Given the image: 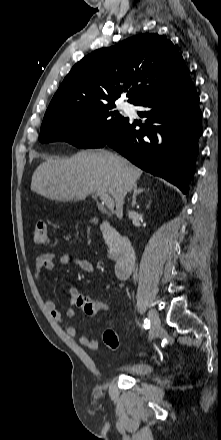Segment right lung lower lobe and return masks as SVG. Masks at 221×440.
<instances>
[{
	"mask_svg": "<svg viewBox=\"0 0 221 440\" xmlns=\"http://www.w3.org/2000/svg\"><path fill=\"white\" fill-rule=\"evenodd\" d=\"M135 105L147 108L138 112L147 118L145 125L136 130L137 123L128 119L104 146L112 147L136 166L166 179L186 194L202 134L194 84L188 79Z\"/></svg>",
	"mask_w": 221,
	"mask_h": 440,
	"instance_id": "obj_1",
	"label": "right lung lower lobe"
}]
</instances>
